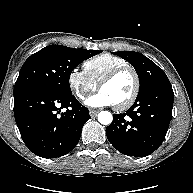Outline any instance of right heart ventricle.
<instances>
[{
  "label": "right heart ventricle",
  "instance_id": "right-heart-ventricle-1",
  "mask_svg": "<svg viewBox=\"0 0 193 193\" xmlns=\"http://www.w3.org/2000/svg\"><path fill=\"white\" fill-rule=\"evenodd\" d=\"M123 65H128L125 59L109 53H103L87 59L83 63V69L90 80L97 85L107 73Z\"/></svg>",
  "mask_w": 193,
  "mask_h": 193
}]
</instances>
